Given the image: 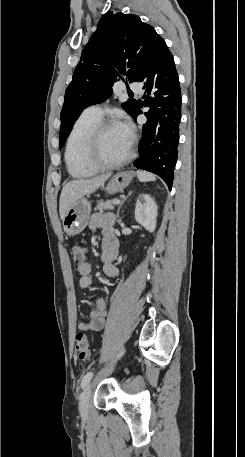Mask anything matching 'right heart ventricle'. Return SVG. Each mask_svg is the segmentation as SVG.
I'll return each mask as SVG.
<instances>
[{"instance_id": "1", "label": "right heart ventricle", "mask_w": 245, "mask_h": 457, "mask_svg": "<svg viewBox=\"0 0 245 457\" xmlns=\"http://www.w3.org/2000/svg\"><path fill=\"white\" fill-rule=\"evenodd\" d=\"M100 122V118L82 114L74 123L66 143L65 159L68 171L76 178L92 174V170L83 166L80 162V152L84 146V140L90 129Z\"/></svg>"}]
</instances>
